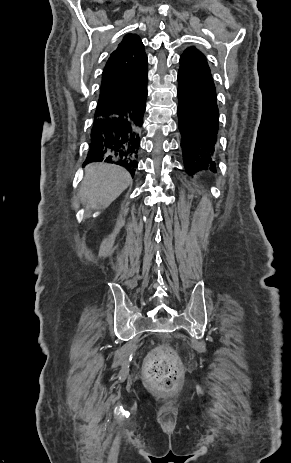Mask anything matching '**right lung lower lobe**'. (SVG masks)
<instances>
[{
    "mask_svg": "<svg viewBox=\"0 0 291 463\" xmlns=\"http://www.w3.org/2000/svg\"><path fill=\"white\" fill-rule=\"evenodd\" d=\"M147 77L122 104L111 109L106 116L94 119L84 165L98 161L114 163L134 176L147 98Z\"/></svg>",
    "mask_w": 291,
    "mask_h": 463,
    "instance_id": "1",
    "label": "right lung lower lobe"
}]
</instances>
